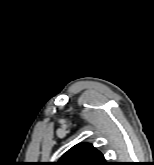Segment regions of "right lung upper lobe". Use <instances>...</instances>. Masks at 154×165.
<instances>
[{
    "instance_id": "obj_1",
    "label": "right lung upper lobe",
    "mask_w": 154,
    "mask_h": 165,
    "mask_svg": "<svg viewBox=\"0 0 154 165\" xmlns=\"http://www.w3.org/2000/svg\"><path fill=\"white\" fill-rule=\"evenodd\" d=\"M57 163L59 165H107L104 156L89 143L73 146Z\"/></svg>"
}]
</instances>
